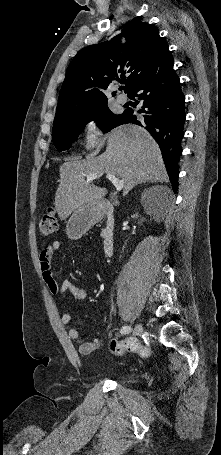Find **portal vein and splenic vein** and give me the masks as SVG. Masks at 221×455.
Listing matches in <instances>:
<instances>
[{"label": "portal vein and splenic vein", "mask_w": 221, "mask_h": 455, "mask_svg": "<svg viewBox=\"0 0 221 455\" xmlns=\"http://www.w3.org/2000/svg\"><path fill=\"white\" fill-rule=\"evenodd\" d=\"M102 175L97 174H89L86 176L87 181H93L95 179L100 178ZM106 178L115 186L117 191H121L124 187V181L119 180L115 175L107 174Z\"/></svg>", "instance_id": "18ae733b"}]
</instances>
